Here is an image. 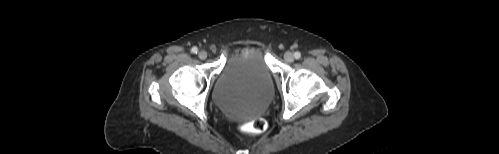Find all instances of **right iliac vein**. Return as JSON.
Returning <instances> with one entry per match:
<instances>
[{
    "label": "right iliac vein",
    "mask_w": 499,
    "mask_h": 154,
    "mask_svg": "<svg viewBox=\"0 0 499 154\" xmlns=\"http://www.w3.org/2000/svg\"><path fill=\"white\" fill-rule=\"evenodd\" d=\"M198 57L201 59V60H204L207 58V52L206 51H200L199 54H198Z\"/></svg>",
    "instance_id": "63e3f726"
}]
</instances>
